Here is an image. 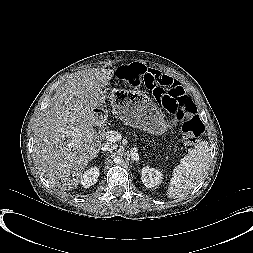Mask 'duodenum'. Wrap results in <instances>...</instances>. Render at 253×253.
<instances>
[{
	"label": "duodenum",
	"instance_id": "1",
	"mask_svg": "<svg viewBox=\"0 0 253 253\" xmlns=\"http://www.w3.org/2000/svg\"><path fill=\"white\" fill-rule=\"evenodd\" d=\"M103 121V114L102 112H99V114L96 117V123L100 124Z\"/></svg>",
	"mask_w": 253,
	"mask_h": 253
}]
</instances>
